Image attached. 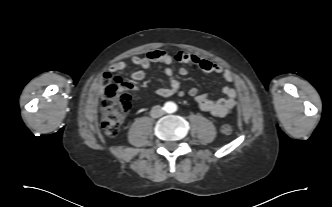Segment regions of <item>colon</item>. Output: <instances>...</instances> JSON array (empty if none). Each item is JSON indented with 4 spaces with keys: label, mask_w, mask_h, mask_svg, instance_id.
<instances>
[{
    "label": "colon",
    "mask_w": 332,
    "mask_h": 207,
    "mask_svg": "<svg viewBox=\"0 0 332 207\" xmlns=\"http://www.w3.org/2000/svg\"><path fill=\"white\" fill-rule=\"evenodd\" d=\"M132 85L122 76H114L104 87L105 98L101 105V127L108 137H115L123 124L125 114L132 105L129 89ZM224 135L232 133L228 124L222 126Z\"/></svg>",
    "instance_id": "colon-1"
}]
</instances>
